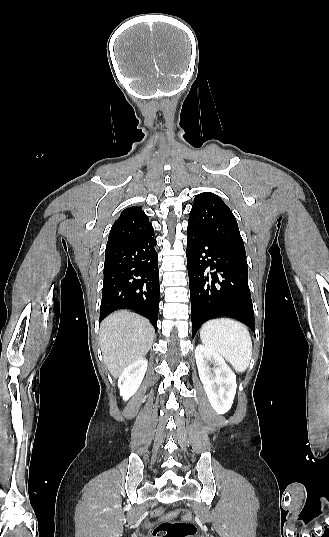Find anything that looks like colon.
I'll return each mask as SVG.
<instances>
[{"label": "colon", "instance_id": "obj_1", "mask_svg": "<svg viewBox=\"0 0 329 537\" xmlns=\"http://www.w3.org/2000/svg\"><path fill=\"white\" fill-rule=\"evenodd\" d=\"M154 519H164L154 530V537H194L197 527L188 510L170 511L168 509L153 511ZM178 518V520H175Z\"/></svg>", "mask_w": 329, "mask_h": 537}]
</instances>
